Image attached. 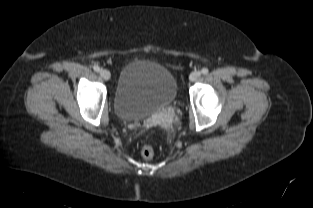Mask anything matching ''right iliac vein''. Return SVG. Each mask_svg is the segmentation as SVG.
<instances>
[{"mask_svg": "<svg viewBox=\"0 0 313 208\" xmlns=\"http://www.w3.org/2000/svg\"><path fill=\"white\" fill-rule=\"evenodd\" d=\"M100 76L104 79V80H109L111 77L110 72L107 69H102L100 70Z\"/></svg>", "mask_w": 313, "mask_h": 208, "instance_id": "obj_1", "label": "right iliac vein"}]
</instances>
